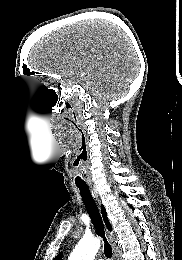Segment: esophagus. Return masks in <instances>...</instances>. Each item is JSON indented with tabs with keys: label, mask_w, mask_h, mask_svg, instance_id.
<instances>
[{
	"label": "esophagus",
	"mask_w": 182,
	"mask_h": 260,
	"mask_svg": "<svg viewBox=\"0 0 182 260\" xmlns=\"http://www.w3.org/2000/svg\"><path fill=\"white\" fill-rule=\"evenodd\" d=\"M93 194H94V196L96 197L98 203H100V201H99V199H98L97 192H96V191H93ZM107 235H108V238H109L110 243L112 244V246H113V248H114V252H115V253H114V256H115V258H116V257H117V253H116V251H115V245H116L115 235H114L113 232H109V231H107Z\"/></svg>",
	"instance_id": "34e87169"
}]
</instances>
